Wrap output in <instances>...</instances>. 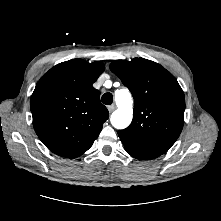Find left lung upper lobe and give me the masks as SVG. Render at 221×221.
<instances>
[{"label": "left lung upper lobe", "instance_id": "left-lung-upper-lobe-1", "mask_svg": "<svg viewBox=\"0 0 221 221\" xmlns=\"http://www.w3.org/2000/svg\"><path fill=\"white\" fill-rule=\"evenodd\" d=\"M110 70L134 98L132 123L118 135L125 148L141 159L164 154L179 137L184 124V93L174 76L143 58L115 60Z\"/></svg>", "mask_w": 221, "mask_h": 221}]
</instances>
